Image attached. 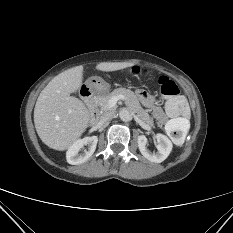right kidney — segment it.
Returning a JSON list of instances; mask_svg holds the SVG:
<instances>
[{"mask_svg":"<svg viewBox=\"0 0 233 233\" xmlns=\"http://www.w3.org/2000/svg\"><path fill=\"white\" fill-rule=\"evenodd\" d=\"M97 142V136L78 139L69 147L66 153L67 162L71 165H78L86 162L95 152ZM84 146H87V149H85L83 153H79Z\"/></svg>","mask_w":233,"mask_h":233,"instance_id":"1","label":"right kidney"}]
</instances>
